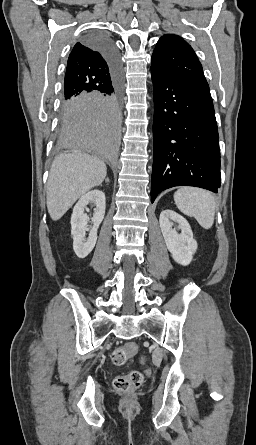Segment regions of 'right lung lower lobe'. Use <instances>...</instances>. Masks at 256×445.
<instances>
[{"label": "right lung lower lobe", "mask_w": 256, "mask_h": 445, "mask_svg": "<svg viewBox=\"0 0 256 445\" xmlns=\"http://www.w3.org/2000/svg\"><path fill=\"white\" fill-rule=\"evenodd\" d=\"M99 49L111 70V84L94 93L62 99L60 142L72 149L114 163L118 157L121 129V72L117 50L103 33L84 38Z\"/></svg>", "instance_id": "right-lung-lower-lobe-1"}]
</instances>
